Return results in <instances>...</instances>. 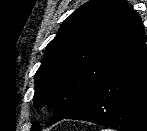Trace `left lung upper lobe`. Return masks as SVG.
I'll use <instances>...</instances> for the list:
<instances>
[{"instance_id":"left-lung-upper-lobe-1","label":"left lung upper lobe","mask_w":147,"mask_h":131,"mask_svg":"<svg viewBox=\"0 0 147 131\" xmlns=\"http://www.w3.org/2000/svg\"><path fill=\"white\" fill-rule=\"evenodd\" d=\"M145 37L140 17L124 0H91L74 11L47 45L35 75V104L55 108L47 126L77 111L114 68L145 45Z\"/></svg>"}]
</instances>
